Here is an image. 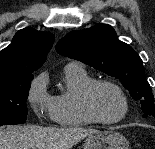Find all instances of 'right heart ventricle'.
Listing matches in <instances>:
<instances>
[{
    "label": "right heart ventricle",
    "instance_id": "1",
    "mask_svg": "<svg viewBox=\"0 0 155 149\" xmlns=\"http://www.w3.org/2000/svg\"><path fill=\"white\" fill-rule=\"evenodd\" d=\"M66 91L54 96L52 119L62 127L87 126L92 121L86 116L81 106V93L84 87L94 80L79 64L64 68Z\"/></svg>",
    "mask_w": 155,
    "mask_h": 149
}]
</instances>
